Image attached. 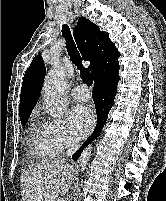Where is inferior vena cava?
<instances>
[{
  "label": "inferior vena cava",
  "instance_id": "1",
  "mask_svg": "<svg viewBox=\"0 0 166 201\" xmlns=\"http://www.w3.org/2000/svg\"><path fill=\"white\" fill-rule=\"evenodd\" d=\"M78 147H79V144H78V143H75V142L71 143V144L69 145L68 150H67V156H68V157H69V156H72V154H74V153L76 152V150L78 149Z\"/></svg>",
  "mask_w": 166,
  "mask_h": 201
}]
</instances>
